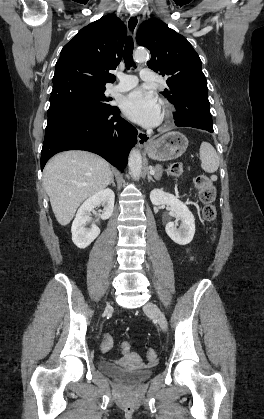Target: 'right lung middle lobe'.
<instances>
[{
	"label": "right lung middle lobe",
	"mask_w": 264,
	"mask_h": 419,
	"mask_svg": "<svg viewBox=\"0 0 264 419\" xmlns=\"http://www.w3.org/2000/svg\"><path fill=\"white\" fill-rule=\"evenodd\" d=\"M106 88L76 87L51 94L48 116L56 110L68 106L78 105L97 109H110L114 106L109 104L111 98L104 95Z\"/></svg>",
	"instance_id": "dd1d6c3e"
}]
</instances>
